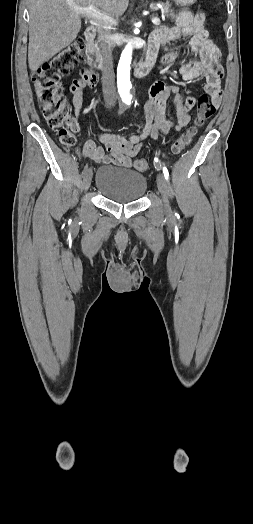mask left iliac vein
Segmentation results:
<instances>
[{
    "instance_id": "obj_1",
    "label": "left iliac vein",
    "mask_w": 253,
    "mask_h": 524,
    "mask_svg": "<svg viewBox=\"0 0 253 524\" xmlns=\"http://www.w3.org/2000/svg\"><path fill=\"white\" fill-rule=\"evenodd\" d=\"M157 187L163 198L164 211L166 214L171 213V207L168 200V184L165 179V176L162 173L157 175Z\"/></svg>"
}]
</instances>
